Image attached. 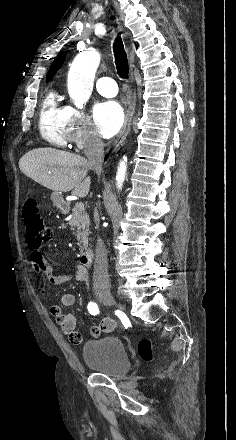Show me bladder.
<instances>
[{
	"instance_id": "31cf9c89",
	"label": "bladder",
	"mask_w": 236,
	"mask_h": 440,
	"mask_svg": "<svg viewBox=\"0 0 236 440\" xmlns=\"http://www.w3.org/2000/svg\"><path fill=\"white\" fill-rule=\"evenodd\" d=\"M82 357L88 367L110 376L125 374L130 368L126 347L121 339L114 336L86 342Z\"/></svg>"
}]
</instances>
